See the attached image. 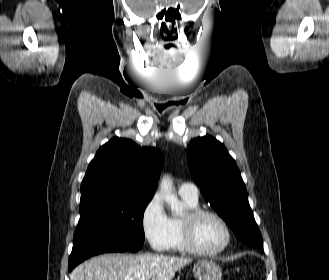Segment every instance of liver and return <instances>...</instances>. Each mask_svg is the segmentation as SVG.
<instances>
[{"label": "liver", "mask_w": 329, "mask_h": 280, "mask_svg": "<svg viewBox=\"0 0 329 280\" xmlns=\"http://www.w3.org/2000/svg\"><path fill=\"white\" fill-rule=\"evenodd\" d=\"M190 258L166 255L104 254L93 257L70 274V280H172Z\"/></svg>", "instance_id": "liver-1"}]
</instances>
